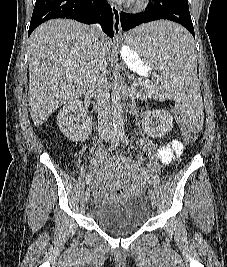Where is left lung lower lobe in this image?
<instances>
[{
	"label": "left lung lower lobe",
	"instance_id": "0a47b994",
	"mask_svg": "<svg viewBox=\"0 0 227 267\" xmlns=\"http://www.w3.org/2000/svg\"><path fill=\"white\" fill-rule=\"evenodd\" d=\"M120 18L124 31L150 21L170 20L184 26L195 38L188 0H149L144 12L136 14L121 12ZM161 41L170 49H178L187 44L183 39L172 36H165Z\"/></svg>",
	"mask_w": 227,
	"mask_h": 267
}]
</instances>
